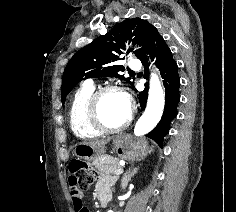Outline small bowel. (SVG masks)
Wrapping results in <instances>:
<instances>
[{
    "mask_svg": "<svg viewBox=\"0 0 236 212\" xmlns=\"http://www.w3.org/2000/svg\"><path fill=\"white\" fill-rule=\"evenodd\" d=\"M66 183L69 184L70 187H68L67 198H69V202H72L73 208L75 212H86L83 206L82 202V194L83 190H87V185H82L81 182H79V176L78 175H67L66 176ZM111 184V180H105L101 182L98 185L99 189H105L109 190V186Z\"/></svg>",
    "mask_w": 236,
    "mask_h": 212,
    "instance_id": "c3829d8e",
    "label": "small bowel"
}]
</instances>
